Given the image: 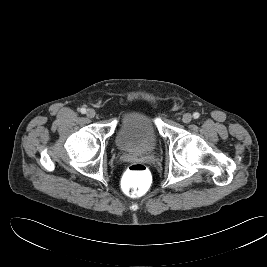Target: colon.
Here are the masks:
<instances>
[{"label":"colon","mask_w":267,"mask_h":267,"mask_svg":"<svg viewBox=\"0 0 267 267\" xmlns=\"http://www.w3.org/2000/svg\"><path fill=\"white\" fill-rule=\"evenodd\" d=\"M151 173L142 163L131 164L123 175L121 187L129 197H139L145 194L151 186Z\"/></svg>","instance_id":"5ec220e1"}]
</instances>
